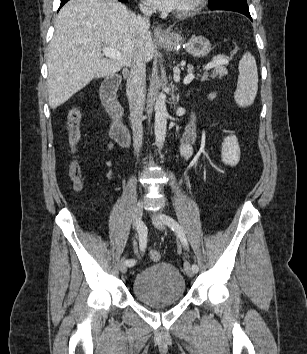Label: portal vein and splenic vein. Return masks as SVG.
<instances>
[{
    "label": "portal vein and splenic vein",
    "instance_id": "obj_1",
    "mask_svg": "<svg viewBox=\"0 0 307 354\" xmlns=\"http://www.w3.org/2000/svg\"><path fill=\"white\" fill-rule=\"evenodd\" d=\"M102 52H103V55H105L108 58L121 59L120 52L114 48L104 46V47H102ZM227 63H228V60L220 59V60L213 61V62L209 63L208 66L211 68V67L219 65V64H227ZM194 77H195V75L193 73L188 74L187 76H185L183 83L184 84L190 83L194 79ZM174 79H175V81H178L180 79L179 75L176 76Z\"/></svg>",
    "mask_w": 307,
    "mask_h": 354
}]
</instances>
